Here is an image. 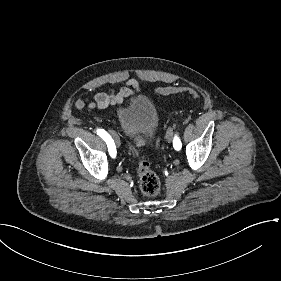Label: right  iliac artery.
Returning a JSON list of instances; mask_svg holds the SVG:
<instances>
[{"mask_svg":"<svg viewBox=\"0 0 281 281\" xmlns=\"http://www.w3.org/2000/svg\"><path fill=\"white\" fill-rule=\"evenodd\" d=\"M97 134L107 143L110 156L114 158L116 156V148L111 136L103 129H98Z\"/></svg>","mask_w":281,"mask_h":281,"instance_id":"right-iliac-artery-1","label":"right iliac artery"}]
</instances>
